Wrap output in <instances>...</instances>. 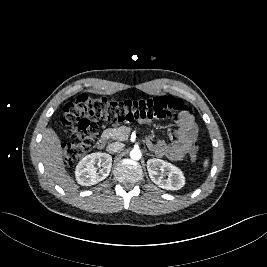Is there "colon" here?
Segmentation results:
<instances>
[{
	"label": "colon",
	"mask_w": 267,
	"mask_h": 267,
	"mask_svg": "<svg viewBox=\"0 0 267 267\" xmlns=\"http://www.w3.org/2000/svg\"><path fill=\"white\" fill-rule=\"evenodd\" d=\"M188 112V106L173 96L136 97L116 100L106 96L80 94L64 107L62 123L70 142L63 146V160L68 166L91 151L98 126L94 119L107 121L152 120L178 117ZM200 146L194 143L189 150L191 160H197Z\"/></svg>",
	"instance_id": "1"
}]
</instances>
